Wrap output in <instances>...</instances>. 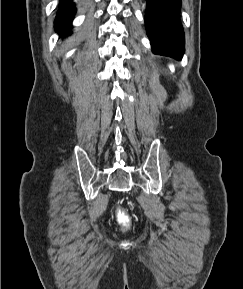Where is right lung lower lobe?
<instances>
[{
    "mask_svg": "<svg viewBox=\"0 0 243 289\" xmlns=\"http://www.w3.org/2000/svg\"><path fill=\"white\" fill-rule=\"evenodd\" d=\"M76 9L71 0H62L59 12L55 21V28L59 32H67L71 26Z\"/></svg>",
    "mask_w": 243,
    "mask_h": 289,
    "instance_id": "98d812e1",
    "label": "right lung lower lobe"
}]
</instances>
